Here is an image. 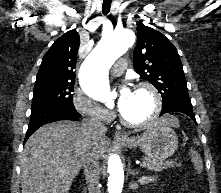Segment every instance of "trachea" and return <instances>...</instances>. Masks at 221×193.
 I'll return each mask as SVG.
<instances>
[{"label":"trachea","mask_w":221,"mask_h":193,"mask_svg":"<svg viewBox=\"0 0 221 193\" xmlns=\"http://www.w3.org/2000/svg\"><path fill=\"white\" fill-rule=\"evenodd\" d=\"M112 0H103L102 12L104 15H107L111 8Z\"/></svg>","instance_id":"1"}]
</instances>
